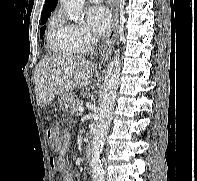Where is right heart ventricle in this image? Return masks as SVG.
<instances>
[{"label": "right heart ventricle", "mask_w": 197, "mask_h": 181, "mask_svg": "<svg viewBox=\"0 0 197 181\" xmlns=\"http://www.w3.org/2000/svg\"><path fill=\"white\" fill-rule=\"evenodd\" d=\"M47 41L50 52L55 56L73 57L80 52L67 24L58 17H53L49 23Z\"/></svg>", "instance_id": "e07e8e85"}]
</instances>
